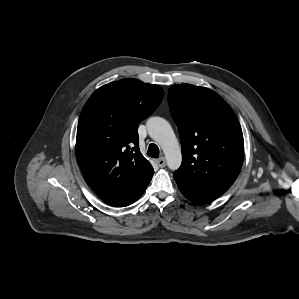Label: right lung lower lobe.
Returning <instances> with one entry per match:
<instances>
[{
	"instance_id": "1",
	"label": "right lung lower lobe",
	"mask_w": 299,
	"mask_h": 299,
	"mask_svg": "<svg viewBox=\"0 0 299 299\" xmlns=\"http://www.w3.org/2000/svg\"><path fill=\"white\" fill-rule=\"evenodd\" d=\"M144 191L140 192L138 195H136L128 200L117 202V203H108V204H111L113 206H120V207L128 206V205L132 204L133 202H135L144 193Z\"/></svg>"
}]
</instances>
